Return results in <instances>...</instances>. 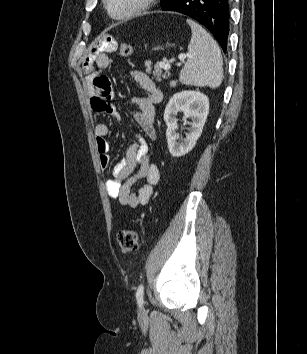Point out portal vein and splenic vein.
I'll return each instance as SVG.
<instances>
[{
	"label": "portal vein and splenic vein",
	"instance_id": "18ae733b",
	"mask_svg": "<svg viewBox=\"0 0 307 354\" xmlns=\"http://www.w3.org/2000/svg\"><path fill=\"white\" fill-rule=\"evenodd\" d=\"M186 57H187L186 55H180L179 60L181 62H183L186 59ZM171 63H172V60L169 59V60H166L165 62H162L161 66L163 67V69L169 70L171 68Z\"/></svg>",
	"mask_w": 307,
	"mask_h": 354
}]
</instances>
